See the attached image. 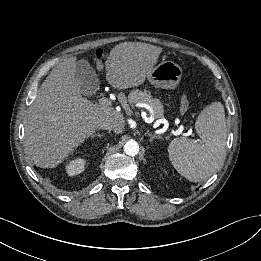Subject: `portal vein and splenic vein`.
Wrapping results in <instances>:
<instances>
[{"label": "portal vein and splenic vein", "mask_w": 261, "mask_h": 261, "mask_svg": "<svg viewBox=\"0 0 261 261\" xmlns=\"http://www.w3.org/2000/svg\"><path fill=\"white\" fill-rule=\"evenodd\" d=\"M99 104L102 105V106H111L112 105V101L110 99L106 98V97H102V98L99 99ZM144 107L146 109L152 110V108L150 106H148V105H144ZM153 121H154V117L151 116L150 118H147V122L148 123H151ZM160 123H161L160 120L156 121V124L159 125Z\"/></svg>", "instance_id": "18ae733b"}]
</instances>
